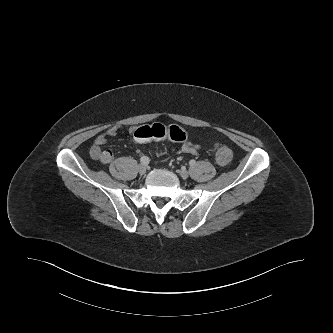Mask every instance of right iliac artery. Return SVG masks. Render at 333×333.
<instances>
[{
  "instance_id": "82829eb1",
  "label": "right iliac artery",
  "mask_w": 333,
  "mask_h": 333,
  "mask_svg": "<svg viewBox=\"0 0 333 333\" xmlns=\"http://www.w3.org/2000/svg\"><path fill=\"white\" fill-rule=\"evenodd\" d=\"M140 161H141V163H143V164H148L149 163V158L147 157V156H142L141 158H140Z\"/></svg>"
}]
</instances>
